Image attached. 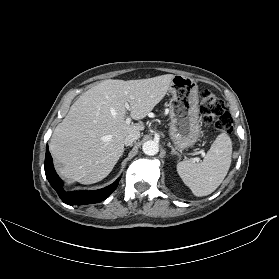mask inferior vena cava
Returning <instances> with one entry per match:
<instances>
[{"instance_id": "1", "label": "inferior vena cava", "mask_w": 279, "mask_h": 279, "mask_svg": "<svg viewBox=\"0 0 279 279\" xmlns=\"http://www.w3.org/2000/svg\"><path fill=\"white\" fill-rule=\"evenodd\" d=\"M140 138V132L139 131H132L129 132L125 139H124V143L126 146L131 145L134 141L138 140Z\"/></svg>"}]
</instances>
